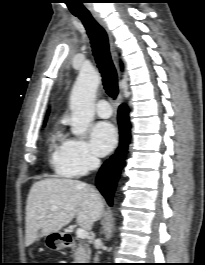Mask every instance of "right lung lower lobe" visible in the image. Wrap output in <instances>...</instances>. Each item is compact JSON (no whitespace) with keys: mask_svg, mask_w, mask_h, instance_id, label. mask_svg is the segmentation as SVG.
I'll list each match as a JSON object with an SVG mask.
<instances>
[{"mask_svg":"<svg viewBox=\"0 0 205 265\" xmlns=\"http://www.w3.org/2000/svg\"><path fill=\"white\" fill-rule=\"evenodd\" d=\"M118 123L120 128V146L117 149V153L102 165L96 178L97 188L109 205H112L115 186L122 168L123 158L130 137L128 109L124 104L119 107Z\"/></svg>","mask_w":205,"mask_h":265,"instance_id":"right-lung-lower-lobe-1","label":"right lung lower lobe"}]
</instances>
